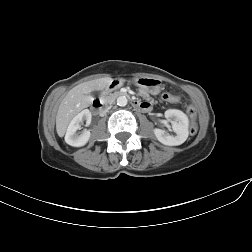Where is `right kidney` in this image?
Here are the masks:
<instances>
[{
    "label": "right kidney",
    "mask_w": 252,
    "mask_h": 252,
    "mask_svg": "<svg viewBox=\"0 0 252 252\" xmlns=\"http://www.w3.org/2000/svg\"><path fill=\"white\" fill-rule=\"evenodd\" d=\"M91 119L92 115L88 109H84L78 113L68 125L65 135V142L74 147L84 146L88 142L91 133L85 129L79 134L77 133V130L80 129L81 124L84 121H86V125H90Z\"/></svg>",
    "instance_id": "1"
}]
</instances>
